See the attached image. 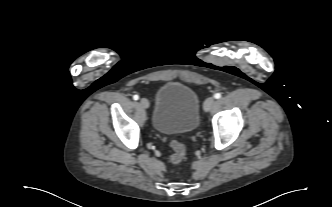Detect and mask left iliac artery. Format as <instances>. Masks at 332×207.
Returning a JSON list of instances; mask_svg holds the SVG:
<instances>
[{"label": "left iliac artery", "mask_w": 332, "mask_h": 207, "mask_svg": "<svg viewBox=\"0 0 332 207\" xmlns=\"http://www.w3.org/2000/svg\"><path fill=\"white\" fill-rule=\"evenodd\" d=\"M214 97H215L216 99L221 98V93H216V94L214 95Z\"/></svg>", "instance_id": "1"}]
</instances>
